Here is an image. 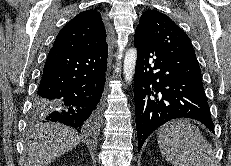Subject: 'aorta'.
I'll return each mask as SVG.
<instances>
[{"mask_svg": "<svg viewBox=\"0 0 231 166\" xmlns=\"http://www.w3.org/2000/svg\"><path fill=\"white\" fill-rule=\"evenodd\" d=\"M137 60V50L135 48H131L127 50L124 58L123 71L125 81L130 84L134 77L135 66Z\"/></svg>", "mask_w": 231, "mask_h": 166, "instance_id": "1", "label": "aorta"}]
</instances>
